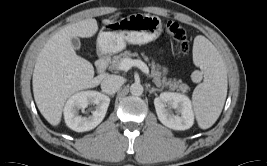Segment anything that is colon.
<instances>
[{"label": "colon", "instance_id": "obj_1", "mask_svg": "<svg viewBox=\"0 0 267 166\" xmlns=\"http://www.w3.org/2000/svg\"><path fill=\"white\" fill-rule=\"evenodd\" d=\"M166 32L177 42L182 54L189 52V41L182 25L175 21L167 20L164 24Z\"/></svg>", "mask_w": 267, "mask_h": 166}]
</instances>
